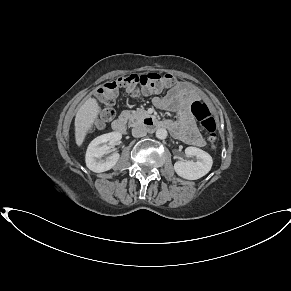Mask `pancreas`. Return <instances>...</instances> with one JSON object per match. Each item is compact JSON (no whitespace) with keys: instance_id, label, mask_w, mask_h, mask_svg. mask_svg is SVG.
<instances>
[{"instance_id":"pancreas-1","label":"pancreas","mask_w":291,"mask_h":291,"mask_svg":"<svg viewBox=\"0 0 291 291\" xmlns=\"http://www.w3.org/2000/svg\"><path fill=\"white\" fill-rule=\"evenodd\" d=\"M121 115L128 119L130 126L140 124L146 117L149 116L148 112L143 109H137L135 111L125 110Z\"/></svg>"}]
</instances>
